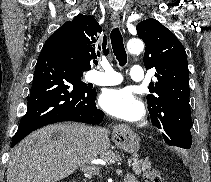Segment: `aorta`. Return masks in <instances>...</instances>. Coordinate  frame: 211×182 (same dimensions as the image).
I'll list each match as a JSON object with an SVG mask.
<instances>
[{
    "instance_id": "762f6f07",
    "label": "aorta",
    "mask_w": 211,
    "mask_h": 182,
    "mask_svg": "<svg viewBox=\"0 0 211 182\" xmlns=\"http://www.w3.org/2000/svg\"><path fill=\"white\" fill-rule=\"evenodd\" d=\"M127 49L131 54H138L143 51L144 43L138 38L130 39L127 43Z\"/></svg>"
}]
</instances>
